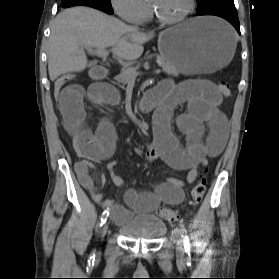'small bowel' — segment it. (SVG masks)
Segmentation results:
<instances>
[{
  "mask_svg": "<svg viewBox=\"0 0 279 279\" xmlns=\"http://www.w3.org/2000/svg\"><path fill=\"white\" fill-rule=\"evenodd\" d=\"M158 101L153 116L154 145L144 158L148 163L162 160L177 170H187V181L193 183L198 176V168L206 165L209 157L219 155L227 142L229 127L226 116L219 109L222 95L218 87L208 80H188L174 86L170 80H164L149 93ZM85 100L96 105H116L119 102L117 90L106 84H92L84 88L70 84L62 90L58 102L66 131L71 136L77 155L82 158L75 165L79 183L90 192L92 198L112 212L114 221L126 223L132 211L148 214L160 203L178 205L184 199L185 183L176 178H167L152 192L128 190L126 209L115 200L104 199L99 188L105 182V175L92 177L90 172L97 162L110 159L115 152L116 133L111 121L103 119L95 132L86 124ZM186 104L187 110L176 117L178 129L185 135L188 145L183 147L171 131V119L175 108ZM208 128L206 135L205 127ZM116 160L107 163L109 177L117 186H123L124 180L114 173Z\"/></svg>",
  "mask_w": 279,
  "mask_h": 279,
  "instance_id": "obj_1",
  "label": "small bowel"
}]
</instances>
